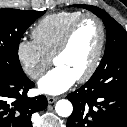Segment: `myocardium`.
<instances>
[{"instance_id": "1", "label": "myocardium", "mask_w": 127, "mask_h": 127, "mask_svg": "<svg viewBox=\"0 0 127 127\" xmlns=\"http://www.w3.org/2000/svg\"><path fill=\"white\" fill-rule=\"evenodd\" d=\"M87 19H92L98 24L99 30H100V40H99L97 50L95 52V55L93 57V60L90 64V66L81 76H79L76 79L78 82H85V81L89 80L92 77V75L95 73V71L97 70V68L100 64L103 50L105 47V42H106V29H105V25H104L102 19H100L98 16H96L94 14H90V13L81 15L67 29V31L63 35L62 40L60 41L57 49L55 50V52L52 56V61L55 64L56 60L67 51V49L70 45V42L72 40V37H73L75 31L77 30V28L79 27V25Z\"/></svg>"}]
</instances>
